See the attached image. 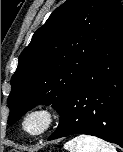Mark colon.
Returning <instances> with one entry per match:
<instances>
[{"label":"colon","instance_id":"obj_1","mask_svg":"<svg viewBox=\"0 0 123 152\" xmlns=\"http://www.w3.org/2000/svg\"><path fill=\"white\" fill-rule=\"evenodd\" d=\"M5 152H18V151H15V150H7Z\"/></svg>","mask_w":123,"mask_h":152}]
</instances>
